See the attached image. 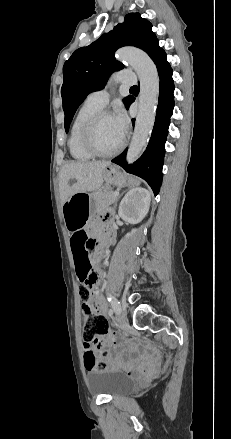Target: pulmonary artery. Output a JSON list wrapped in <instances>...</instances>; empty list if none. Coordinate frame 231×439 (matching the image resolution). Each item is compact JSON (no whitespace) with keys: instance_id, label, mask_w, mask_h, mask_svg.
<instances>
[{"instance_id":"e3ab8cb5","label":"pulmonary artery","mask_w":231,"mask_h":439,"mask_svg":"<svg viewBox=\"0 0 231 439\" xmlns=\"http://www.w3.org/2000/svg\"><path fill=\"white\" fill-rule=\"evenodd\" d=\"M114 79L123 85H133L136 82V78L134 74L128 70H122L118 72L114 76ZM108 98H109L108 90L102 89V90L91 92L87 96L86 101L102 108L107 104Z\"/></svg>"}]
</instances>
